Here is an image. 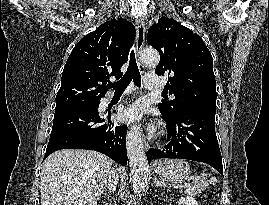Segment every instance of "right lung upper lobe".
<instances>
[{
    "label": "right lung upper lobe",
    "mask_w": 269,
    "mask_h": 205,
    "mask_svg": "<svg viewBox=\"0 0 269 205\" xmlns=\"http://www.w3.org/2000/svg\"><path fill=\"white\" fill-rule=\"evenodd\" d=\"M136 31L131 22L113 19L83 37L64 66L56 109L100 102L109 76H122Z\"/></svg>",
    "instance_id": "obj_1"
}]
</instances>
